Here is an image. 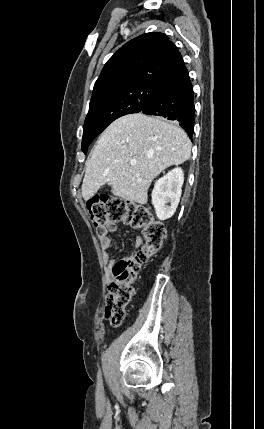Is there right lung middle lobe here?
I'll use <instances>...</instances> for the list:
<instances>
[{
  "label": "right lung middle lobe",
  "mask_w": 264,
  "mask_h": 429,
  "mask_svg": "<svg viewBox=\"0 0 264 429\" xmlns=\"http://www.w3.org/2000/svg\"><path fill=\"white\" fill-rule=\"evenodd\" d=\"M157 89V85L137 84L124 87L90 101L82 138V151L117 118L140 112Z\"/></svg>",
  "instance_id": "dd1d6c3e"
}]
</instances>
